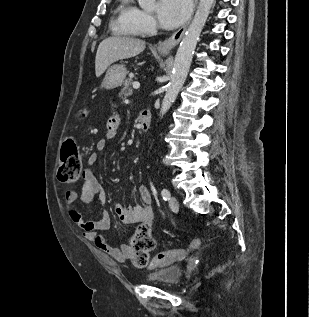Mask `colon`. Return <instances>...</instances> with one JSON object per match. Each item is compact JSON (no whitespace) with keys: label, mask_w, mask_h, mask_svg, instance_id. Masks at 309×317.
<instances>
[{"label":"colon","mask_w":309,"mask_h":317,"mask_svg":"<svg viewBox=\"0 0 309 317\" xmlns=\"http://www.w3.org/2000/svg\"><path fill=\"white\" fill-rule=\"evenodd\" d=\"M82 160L77 145L72 138H67L61 148L60 162L57 172L58 180L67 185L74 184L81 173ZM201 246V240L195 238L191 241L189 248L197 249ZM131 247L134 252V263L141 268L156 267L169 260L174 253H159L150 258L149 253L155 247V240L151 235L149 226L140 225L131 239Z\"/></svg>","instance_id":"5ec220e1"}]
</instances>
